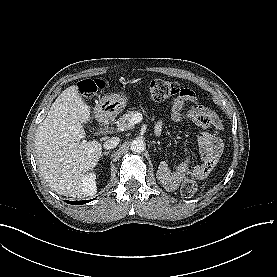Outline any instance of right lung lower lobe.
I'll use <instances>...</instances> for the list:
<instances>
[{
  "label": "right lung lower lobe",
  "mask_w": 277,
  "mask_h": 277,
  "mask_svg": "<svg viewBox=\"0 0 277 277\" xmlns=\"http://www.w3.org/2000/svg\"><path fill=\"white\" fill-rule=\"evenodd\" d=\"M91 200H85V201H66L67 203L69 204H84V203H87Z\"/></svg>",
  "instance_id": "98d812e1"
}]
</instances>
